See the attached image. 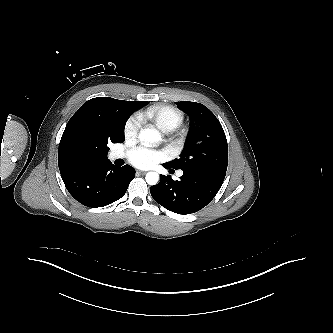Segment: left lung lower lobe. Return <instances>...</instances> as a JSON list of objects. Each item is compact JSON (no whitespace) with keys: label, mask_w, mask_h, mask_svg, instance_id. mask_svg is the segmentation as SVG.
<instances>
[{"label":"left lung lower lobe","mask_w":333,"mask_h":333,"mask_svg":"<svg viewBox=\"0 0 333 333\" xmlns=\"http://www.w3.org/2000/svg\"><path fill=\"white\" fill-rule=\"evenodd\" d=\"M166 169L172 170L165 164ZM226 172L211 169L183 171L180 180L161 175L157 185L150 188L153 199L178 214H191L209 204L219 191Z\"/></svg>","instance_id":"1"}]
</instances>
